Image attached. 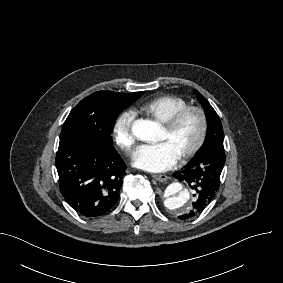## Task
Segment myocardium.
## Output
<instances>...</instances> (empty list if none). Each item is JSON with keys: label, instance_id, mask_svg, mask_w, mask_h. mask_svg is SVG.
Here are the masks:
<instances>
[{"label": "myocardium", "instance_id": "f54148a6", "mask_svg": "<svg viewBox=\"0 0 283 283\" xmlns=\"http://www.w3.org/2000/svg\"><path fill=\"white\" fill-rule=\"evenodd\" d=\"M194 112L198 115L199 120H200V134L199 137L196 141V143L187 151H185L180 159L181 160H187L194 155H196L205 145L206 139H207V132H208V122H207V117L204 112V110L199 107V106H194V105H188L173 114H171L166 121L163 123L164 128L168 131L171 132L173 131L179 122L182 120V118L187 115L188 113Z\"/></svg>", "mask_w": 283, "mask_h": 283}]
</instances>
